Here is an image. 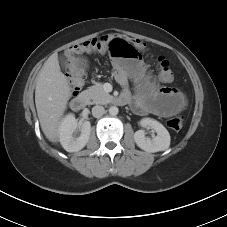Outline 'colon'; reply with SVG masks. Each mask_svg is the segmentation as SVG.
I'll return each instance as SVG.
<instances>
[{"label": "colon", "mask_w": 227, "mask_h": 227, "mask_svg": "<svg viewBox=\"0 0 227 227\" xmlns=\"http://www.w3.org/2000/svg\"><path fill=\"white\" fill-rule=\"evenodd\" d=\"M145 49V44L140 40L132 39L120 34H108L69 47L65 51V56L68 62L73 56L82 57L85 53L107 50L113 59L121 61L123 59H137L139 53L145 51ZM156 65L161 81L165 83L174 81L176 73L168 60L159 57L156 60ZM68 78L71 88L74 91H79L84 82V75L79 79H72L69 76ZM167 125L172 130L179 131L183 127V118L181 116H174L168 120Z\"/></svg>", "instance_id": "1"}]
</instances>
